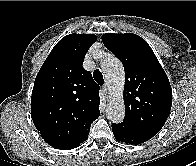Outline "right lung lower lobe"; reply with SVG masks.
Wrapping results in <instances>:
<instances>
[{"label":"right lung lower lobe","mask_w":196,"mask_h":166,"mask_svg":"<svg viewBox=\"0 0 196 166\" xmlns=\"http://www.w3.org/2000/svg\"><path fill=\"white\" fill-rule=\"evenodd\" d=\"M80 145L76 144V143H55V144H51L52 147L56 148V149H63V150H68V149H73L76 148Z\"/></svg>","instance_id":"obj_1"}]
</instances>
